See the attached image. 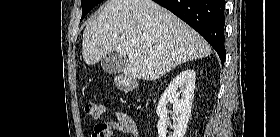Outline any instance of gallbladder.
<instances>
[{"instance_id":"obj_1","label":"gallbladder","mask_w":280,"mask_h":137,"mask_svg":"<svg viewBox=\"0 0 280 137\" xmlns=\"http://www.w3.org/2000/svg\"><path fill=\"white\" fill-rule=\"evenodd\" d=\"M128 59L118 53H111L101 59V67L108 74H119L124 71Z\"/></svg>"}]
</instances>
